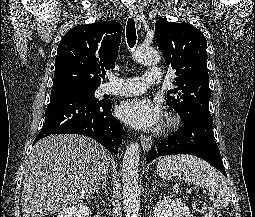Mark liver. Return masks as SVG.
Returning <instances> with one entry per match:
<instances>
[{
  "label": "liver",
  "instance_id": "obj_1",
  "mask_svg": "<svg viewBox=\"0 0 255 217\" xmlns=\"http://www.w3.org/2000/svg\"><path fill=\"white\" fill-rule=\"evenodd\" d=\"M109 154L95 140L53 135L35 144L22 186L23 217H45L95 193L108 174Z\"/></svg>",
  "mask_w": 255,
  "mask_h": 217
}]
</instances>
